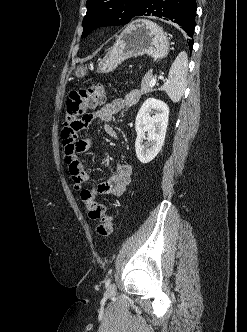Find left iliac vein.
<instances>
[{"mask_svg": "<svg viewBox=\"0 0 247 332\" xmlns=\"http://www.w3.org/2000/svg\"><path fill=\"white\" fill-rule=\"evenodd\" d=\"M115 291H116V287L114 284H110L107 288V294L108 295H113L115 294Z\"/></svg>", "mask_w": 247, "mask_h": 332, "instance_id": "left-iliac-vein-1", "label": "left iliac vein"}]
</instances>
